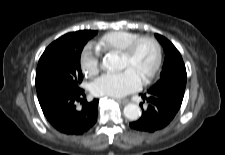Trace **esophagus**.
<instances>
[{"label":"esophagus","instance_id":"obj_1","mask_svg":"<svg viewBox=\"0 0 225 155\" xmlns=\"http://www.w3.org/2000/svg\"><path fill=\"white\" fill-rule=\"evenodd\" d=\"M120 104L122 105H126L129 103V100L128 99H123V100H117Z\"/></svg>","mask_w":225,"mask_h":155}]
</instances>
